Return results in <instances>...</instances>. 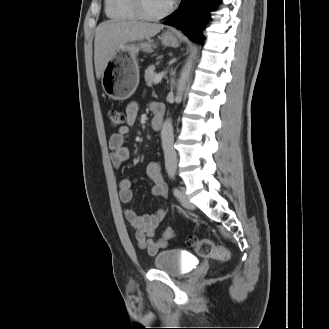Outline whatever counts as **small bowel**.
<instances>
[{
  "label": "small bowel",
  "instance_id": "small-bowel-1",
  "mask_svg": "<svg viewBox=\"0 0 329 329\" xmlns=\"http://www.w3.org/2000/svg\"><path fill=\"white\" fill-rule=\"evenodd\" d=\"M139 107L135 102L127 105L125 110L126 125L113 133L109 138V148L111 150L110 160L114 168L119 169L129 158V149L126 145L127 137L131 132L138 116ZM146 176L152 182V194L161 198L167 197V186L158 162H151L145 168ZM119 198L123 203H130L133 199L131 181L122 178L118 183ZM166 215V210L161 208L150 215H138L133 209L126 208L124 216L132 228L135 230V238L138 247L145 250L148 255H155L160 249L167 246L165 239L154 240L155 230Z\"/></svg>",
  "mask_w": 329,
  "mask_h": 329
}]
</instances>
